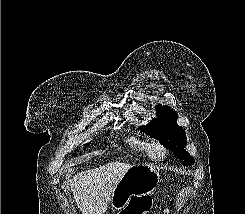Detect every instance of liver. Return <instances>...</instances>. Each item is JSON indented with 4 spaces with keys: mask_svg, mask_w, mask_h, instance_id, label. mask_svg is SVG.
<instances>
[{
    "mask_svg": "<svg viewBox=\"0 0 245 214\" xmlns=\"http://www.w3.org/2000/svg\"><path fill=\"white\" fill-rule=\"evenodd\" d=\"M132 166L111 162L74 175L70 180L71 191L82 214H104L116 184Z\"/></svg>",
    "mask_w": 245,
    "mask_h": 214,
    "instance_id": "1",
    "label": "liver"
}]
</instances>
